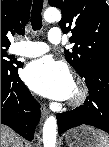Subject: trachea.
I'll list each match as a JSON object with an SVG mask.
<instances>
[{"mask_svg":"<svg viewBox=\"0 0 109 147\" xmlns=\"http://www.w3.org/2000/svg\"><path fill=\"white\" fill-rule=\"evenodd\" d=\"M43 0H34L33 7L31 11V25L34 31L40 30L42 28V12Z\"/></svg>","mask_w":109,"mask_h":147,"instance_id":"1","label":"trachea"}]
</instances>
